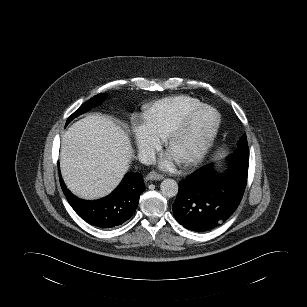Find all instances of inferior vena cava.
<instances>
[{
	"label": "inferior vena cava",
	"mask_w": 307,
	"mask_h": 307,
	"mask_svg": "<svg viewBox=\"0 0 307 307\" xmlns=\"http://www.w3.org/2000/svg\"><path fill=\"white\" fill-rule=\"evenodd\" d=\"M138 159L142 164L150 165L155 161V154L149 151H141L138 154Z\"/></svg>",
	"instance_id": "obj_1"
}]
</instances>
